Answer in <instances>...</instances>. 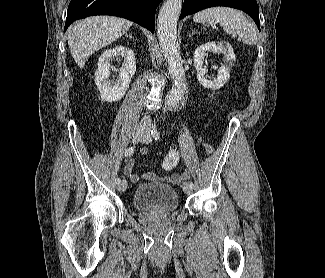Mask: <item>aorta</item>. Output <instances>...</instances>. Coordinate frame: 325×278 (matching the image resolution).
Instances as JSON below:
<instances>
[{
	"label": "aorta",
	"mask_w": 325,
	"mask_h": 278,
	"mask_svg": "<svg viewBox=\"0 0 325 278\" xmlns=\"http://www.w3.org/2000/svg\"><path fill=\"white\" fill-rule=\"evenodd\" d=\"M182 8V0H166L162 5L157 21V36L165 60L168 63V72L174 80L167 104L176 107L184 96L187 84L185 70L177 42V21Z\"/></svg>",
	"instance_id": "762f6f07"
}]
</instances>
